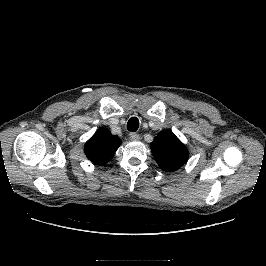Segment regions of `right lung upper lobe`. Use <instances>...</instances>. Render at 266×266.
<instances>
[{"mask_svg":"<svg viewBox=\"0 0 266 266\" xmlns=\"http://www.w3.org/2000/svg\"><path fill=\"white\" fill-rule=\"evenodd\" d=\"M121 140L118 136L111 134L106 128H99L84 146V152L87 158L97 165L108 163L118 147Z\"/></svg>","mask_w":266,"mask_h":266,"instance_id":"right-lung-upper-lobe-1","label":"right lung upper lobe"}]
</instances>
